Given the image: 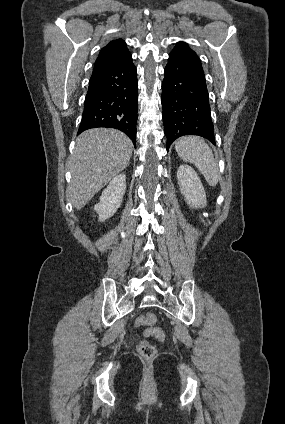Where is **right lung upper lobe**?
I'll return each mask as SVG.
<instances>
[{
    "mask_svg": "<svg viewBox=\"0 0 285 424\" xmlns=\"http://www.w3.org/2000/svg\"><path fill=\"white\" fill-rule=\"evenodd\" d=\"M132 58L126 43L122 39L110 41L103 47L94 64L93 72L115 66Z\"/></svg>",
    "mask_w": 285,
    "mask_h": 424,
    "instance_id": "1",
    "label": "right lung upper lobe"
}]
</instances>
